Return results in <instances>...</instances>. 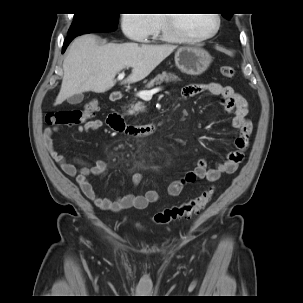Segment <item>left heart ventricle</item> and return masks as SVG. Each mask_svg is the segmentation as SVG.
<instances>
[{
	"mask_svg": "<svg viewBox=\"0 0 303 303\" xmlns=\"http://www.w3.org/2000/svg\"><path fill=\"white\" fill-rule=\"evenodd\" d=\"M215 26L212 14H183L179 27L189 35L201 36L209 33Z\"/></svg>",
	"mask_w": 303,
	"mask_h": 303,
	"instance_id": "b2bd125f",
	"label": "left heart ventricle"
}]
</instances>
